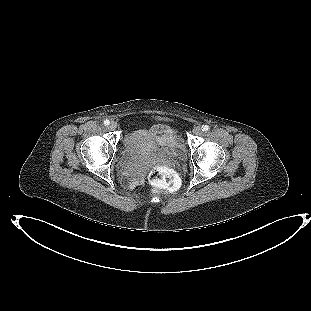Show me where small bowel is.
Masks as SVG:
<instances>
[{
	"label": "small bowel",
	"mask_w": 311,
	"mask_h": 311,
	"mask_svg": "<svg viewBox=\"0 0 311 311\" xmlns=\"http://www.w3.org/2000/svg\"><path fill=\"white\" fill-rule=\"evenodd\" d=\"M154 132L159 135L161 141H169L170 140V131L166 127H156Z\"/></svg>",
	"instance_id": "small-bowel-1"
}]
</instances>
